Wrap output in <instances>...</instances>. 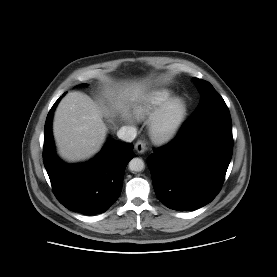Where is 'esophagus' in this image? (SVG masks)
<instances>
[{
  "label": "esophagus",
  "instance_id": "1",
  "mask_svg": "<svg viewBox=\"0 0 277 277\" xmlns=\"http://www.w3.org/2000/svg\"><path fill=\"white\" fill-rule=\"evenodd\" d=\"M134 147L139 154H143L147 149L145 143L141 140L137 141Z\"/></svg>",
  "mask_w": 277,
  "mask_h": 277
}]
</instances>
